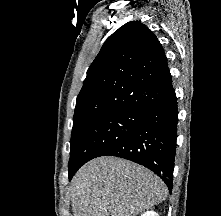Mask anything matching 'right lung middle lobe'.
Instances as JSON below:
<instances>
[{
  "instance_id": "dd1d6c3e",
  "label": "right lung middle lobe",
  "mask_w": 221,
  "mask_h": 216,
  "mask_svg": "<svg viewBox=\"0 0 221 216\" xmlns=\"http://www.w3.org/2000/svg\"><path fill=\"white\" fill-rule=\"evenodd\" d=\"M143 116L144 111L122 109L73 125L69 170L103 156L127 139L140 125Z\"/></svg>"
}]
</instances>
